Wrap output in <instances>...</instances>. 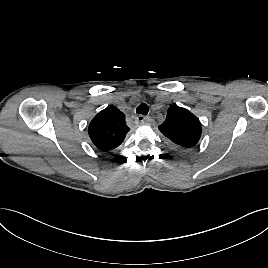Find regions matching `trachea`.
<instances>
[{
	"mask_svg": "<svg viewBox=\"0 0 268 268\" xmlns=\"http://www.w3.org/2000/svg\"><path fill=\"white\" fill-rule=\"evenodd\" d=\"M136 112L141 115H147L148 114V106L146 103H141L137 109Z\"/></svg>",
	"mask_w": 268,
	"mask_h": 268,
	"instance_id": "3493384b",
	"label": "trachea"
}]
</instances>
